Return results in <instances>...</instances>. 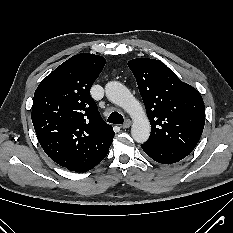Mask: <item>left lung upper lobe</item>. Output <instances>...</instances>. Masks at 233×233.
Listing matches in <instances>:
<instances>
[{
  "label": "left lung upper lobe",
  "mask_w": 233,
  "mask_h": 233,
  "mask_svg": "<svg viewBox=\"0 0 233 233\" xmlns=\"http://www.w3.org/2000/svg\"><path fill=\"white\" fill-rule=\"evenodd\" d=\"M128 66L150 120L149 140L192 152L205 124V107L199 92L159 60L136 58Z\"/></svg>",
  "instance_id": "left-lung-upper-lobe-1"
}]
</instances>
